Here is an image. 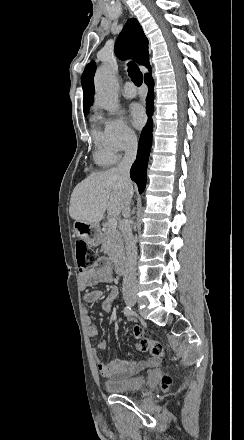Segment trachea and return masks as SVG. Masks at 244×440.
I'll return each mask as SVG.
<instances>
[{
  "label": "trachea",
  "instance_id": "trachea-1",
  "mask_svg": "<svg viewBox=\"0 0 244 440\" xmlns=\"http://www.w3.org/2000/svg\"><path fill=\"white\" fill-rule=\"evenodd\" d=\"M128 73H129V76H130L132 82L137 87H140L143 82V76H142V73L140 72L139 68L137 67V65H135L134 63H129Z\"/></svg>",
  "mask_w": 244,
  "mask_h": 440
}]
</instances>
